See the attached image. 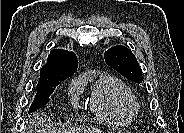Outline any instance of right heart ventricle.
<instances>
[{
  "label": "right heart ventricle",
  "instance_id": "1",
  "mask_svg": "<svg viewBox=\"0 0 184 133\" xmlns=\"http://www.w3.org/2000/svg\"><path fill=\"white\" fill-rule=\"evenodd\" d=\"M131 90L119 79L101 75L91 94V109L100 118L114 124L128 123L137 112Z\"/></svg>",
  "mask_w": 184,
  "mask_h": 133
}]
</instances>
